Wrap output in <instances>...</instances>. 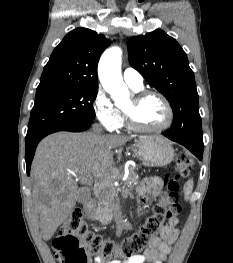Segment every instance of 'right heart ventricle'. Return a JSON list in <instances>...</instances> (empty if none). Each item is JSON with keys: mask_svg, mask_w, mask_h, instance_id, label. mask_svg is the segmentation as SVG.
Here are the masks:
<instances>
[{"mask_svg": "<svg viewBox=\"0 0 233 263\" xmlns=\"http://www.w3.org/2000/svg\"><path fill=\"white\" fill-rule=\"evenodd\" d=\"M134 92H137V91H140L141 90V88L140 89H134V88H131ZM123 124V123H122ZM122 126V125H121Z\"/></svg>", "mask_w": 233, "mask_h": 263, "instance_id": "e07e8e85", "label": "right heart ventricle"}]
</instances>
